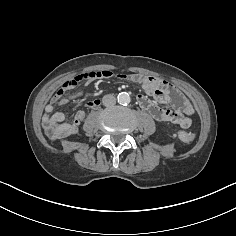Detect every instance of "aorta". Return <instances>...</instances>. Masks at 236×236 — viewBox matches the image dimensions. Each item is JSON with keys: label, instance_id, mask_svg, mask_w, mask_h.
<instances>
[{"label": "aorta", "instance_id": "aorta-1", "mask_svg": "<svg viewBox=\"0 0 236 236\" xmlns=\"http://www.w3.org/2000/svg\"><path fill=\"white\" fill-rule=\"evenodd\" d=\"M130 100V95L127 92H121L117 96V101L121 105H127L128 103H130Z\"/></svg>", "mask_w": 236, "mask_h": 236}]
</instances>
